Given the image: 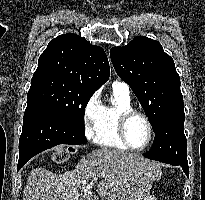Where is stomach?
<instances>
[{"mask_svg":"<svg viewBox=\"0 0 205 200\" xmlns=\"http://www.w3.org/2000/svg\"><path fill=\"white\" fill-rule=\"evenodd\" d=\"M141 200H157V199L154 196H150L148 193Z\"/></svg>","mask_w":205,"mask_h":200,"instance_id":"stomach-1","label":"stomach"}]
</instances>
